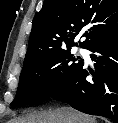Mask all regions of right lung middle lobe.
Segmentation results:
<instances>
[{"label": "right lung middle lobe", "mask_w": 118, "mask_h": 123, "mask_svg": "<svg viewBox=\"0 0 118 123\" xmlns=\"http://www.w3.org/2000/svg\"><path fill=\"white\" fill-rule=\"evenodd\" d=\"M71 48L60 49L24 64L12 107L36 104L50 98L78 71L83 60L73 57Z\"/></svg>", "instance_id": "right-lung-middle-lobe-1"}]
</instances>
